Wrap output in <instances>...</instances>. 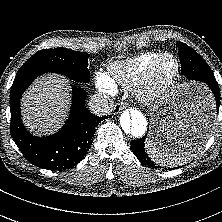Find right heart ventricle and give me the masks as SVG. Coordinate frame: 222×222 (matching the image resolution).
<instances>
[{
	"instance_id": "e07e8e85",
	"label": "right heart ventricle",
	"mask_w": 222,
	"mask_h": 222,
	"mask_svg": "<svg viewBox=\"0 0 222 222\" xmlns=\"http://www.w3.org/2000/svg\"><path fill=\"white\" fill-rule=\"evenodd\" d=\"M160 54L161 52L158 51H150L116 62L108 68L106 77L114 88L118 85L136 84L144 75L149 64Z\"/></svg>"
}]
</instances>
